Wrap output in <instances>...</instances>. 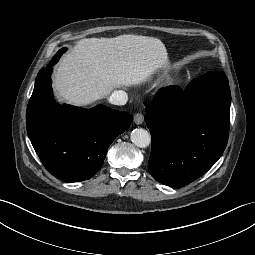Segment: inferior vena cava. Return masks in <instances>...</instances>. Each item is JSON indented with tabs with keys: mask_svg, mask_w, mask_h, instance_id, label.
Instances as JSON below:
<instances>
[{
	"mask_svg": "<svg viewBox=\"0 0 255 255\" xmlns=\"http://www.w3.org/2000/svg\"><path fill=\"white\" fill-rule=\"evenodd\" d=\"M128 101V95L123 90H115L109 97V102L113 105H125Z\"/></svg>",
	"mask_w": 255,
	"mask_h": 255,
	"instance_id": "602c4592",
	"label": "inferior vena cava"
}]
</instances>
